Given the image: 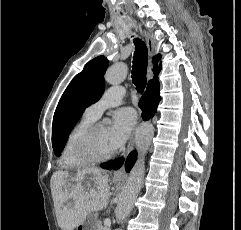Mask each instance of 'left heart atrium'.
I'll list each match as a JSON object with an SVG mask.
<instances>
[{
	"mask_svg": "<svg viewBox=\"0 0 241 230\" xmlns=\"http://www.w3.org/2000/svg\"><path fill=\"white\" fill-rule=\"evenodd\" d=\"M136 123L135 112L130 108H121L114 112L112 124L107 129V139L112 150L124 145L129 139Z\"/></svg>",
	"mask_w": 241,
	"mask_h": 230,
	"instance_id": "1",
	"label": "left heart atrium"
}]
</instances>
